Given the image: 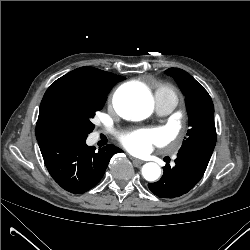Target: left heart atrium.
<instances>
[{"label": "left heart atrium", "instance_id": "left-heart-atrium-1", "mask_svg": "<svg viewBox=\"0 0 250 250\" xmlns=\"http://www.w3.org/2000/svg\"><path fill=\"white\" fill-rule=\"evenodd\" d=\"M166 136L161 129L138 130L122 137L124 146L135 154H146L153 146L165 143Z\"/></svg>", "mask_w": 250, "mask_h": 250}]
</instances>
